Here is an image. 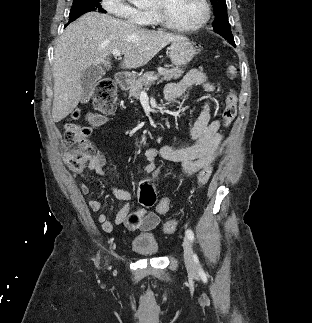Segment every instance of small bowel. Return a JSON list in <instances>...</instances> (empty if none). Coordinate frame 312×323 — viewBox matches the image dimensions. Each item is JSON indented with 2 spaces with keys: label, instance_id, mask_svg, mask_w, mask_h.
Here are the masks:
<instances>
[{
  "label": "small bowel",
  "instance_id": "c3829d8e",
  "mask_svg": "<svg viewBox=\"0 0 312 323\" xmlns=\"http://www.w3.org/2000/svg\"><path fill=\"white\" fill-rule=\"evenodd\" d=\"M194 86L202 87L207 94L214 91V86L207 80L205 73L199 69H192L181 80L167 86L166 100L174 102ZM219 127L220 121L218 119L210 120L209 103L206 101L190 131L192 144L179 148L164 145L161 148L147 149L145 151L144 171L151 174L153 168L157 167L156 159L161 157L169 162L180 163L185 174L194 175L198 173L205 166L211 165L218 155L223 140L219 133ZM88 169L98 175H104L108 170L105 156L101 153L96 154L88 163ZM80 188L84 195L89 193L86 184H81ZM111 192L115 197L125 201H129L132 197L129 192L122 189L113 188ZM88 204L94 212H99L103 205L102 201L98 199H91ZM97 220L106 232H112L120 224H124L129 231H148L159 224L160 216L152 212L132 213L130 204L126 202L112 220L105 213H100Z\"/></svg>",
  "mask_w": 312,
  "mask_h": 323
}]
</instances>
